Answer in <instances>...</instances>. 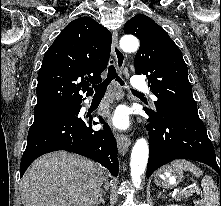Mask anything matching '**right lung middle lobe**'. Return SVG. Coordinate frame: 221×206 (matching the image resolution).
Masks as SVG:
<instances>
[{
	"mask_svg": "<svg viewBox=\"0 0 221 206\" xmlns=\"http://www.w3.org/2000/svg\"><path fill=\"white\" fill-rule=\"evenodd\" d=\"M79 104L35 107L34 121L61 115H71L77 111Z\"/></svg>",
	"mask_w": 221,
	"mask_h": 206,
	"instance_id": "obj_1",
	"label": "right lung middle lobe"
}]
</instances>
